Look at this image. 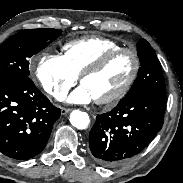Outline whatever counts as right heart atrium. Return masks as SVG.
<instances>
[{"instance_id":"right-heart-atrium-1","label":"right heart atrium","mask_w":183,"mask_h":183,"mask_svg":"<svg viewBox=\"0 0 183 183\" xmlns=\"http://www.w3.org/2000/svg\"><path fill=\"white\" fill-rule=\"evenodd\" d=\"M36 76L43 90L57 100L64 99L78 81L63 55L48 52L37 56Z\"/></svg>"}]
</instances>
